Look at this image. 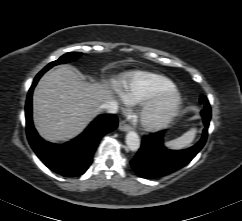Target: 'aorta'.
<instances>
[{
  "mask_svg": "<svg viewBox=\"0 0 242 221\" xmlns=\"http://www.w3.org/2000/svg\"><path fill=\"white\" fill-rule=\"evenodd\" d=\"M126 144L131 151H137L140 147V138L134 131H129L126 135Z\"/></svg>",
  "mask_w": 242,
  "mask_h": 221,
  "instance_id": "obj_1",
  "label": "aorta"
}]
</instances>
